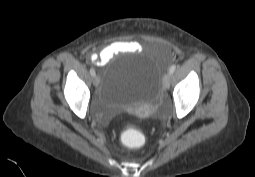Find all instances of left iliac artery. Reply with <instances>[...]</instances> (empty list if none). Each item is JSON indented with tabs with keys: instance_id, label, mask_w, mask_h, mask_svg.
Listing matches in <instances>:
<instances>
[{
	"instance_id": "obj_1",
	"label": "left iliac artery",
	"mask_w": 255,
	"mask_h": 177,
	"mask_svg": "<svg viewBox=\"0 0 255 177\" xmlns=\"http://www.w3.org/2000/svg\"><path fill=\"white\" fill-rule=\"evenodd\" d=\"M176 70V65H172L169 69V73L172 75L174 71Z\"/></svg>"
}]
</instances>
